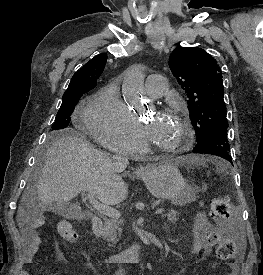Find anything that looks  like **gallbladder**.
Segmentation results:
<instances>
[{"label":"gallbladder","mask_w":263,"mask_h":275,"mask_svg":"<svg viewBox=\"0 0 263 275\" xmlns=\"http://www.w3.org/2000/svg\"><path fill=\"white\" fill-rule=\"evenodd\" d=\"M50 210L65 218H74L78 215V208L67 202H54L50 207Z\"/></svg>","instance_id":"1"}]
</instances>
